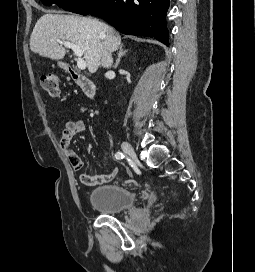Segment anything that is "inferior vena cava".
<instances>
[{
	"label": "inferior vena cava",
	"mask_w": 255,
	"mask_h": 272,
	"mask_svg": "<svg viewBox=\"0 0 255 272\" xmlns=\"http://www.w3.org/2000/svg\"><path fill=\"white\" fill-rule=\"evenodd\" d=\"M113 63V58L111 52L104 51L102 54L101 64L105 68L111 67Z\"/></svg>",
	"instance_id": "obj_1"
}]
</instances>
